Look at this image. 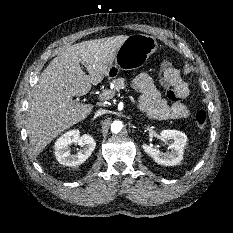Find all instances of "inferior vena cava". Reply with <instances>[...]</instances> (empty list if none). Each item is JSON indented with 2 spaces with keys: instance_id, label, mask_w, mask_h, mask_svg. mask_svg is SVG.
Returning a JSON list of instances; mask_svg holds the SVG:
<instances>
[{
  "instance_id": "602c4592",
  "label": "inferior vena cava",
  "mask_w": 233,
  "mask_h": 233,
  "mask_svg": "<svg viewBox=\"0 0 233 233\" xmlns=\"http://www.w3.org/2000/svg\"><path fill=\"white\" fill-rule=\"evenodd\" d=\"M105 113H107V111L104 110V109H101V110H98V112L96 113V115L99 116V115H102V114H105Z\"/></svg>"
}]
</instances>
